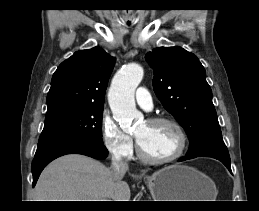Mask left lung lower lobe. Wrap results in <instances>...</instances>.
Masks as SVG:
<instances>
[{"label": "left lung lower lobe", "mask_w": 259, "mask_h": 211, "mask_svg": "<svg viewBox=\"0 0 259 211\" xmlns=\"http://www.w3.org/2000/svg\"><path fill=\"white\" fill-rule=\"evenodd\" d=\"M196 157L215 158V159L221 161L227 167V169L231 172V167H230L231 162H230L229 153H222V152H217V151H202V152L195 153L193 155H186L185 157L181 158L180 161L193 159Z\"/></svg>", "instance_id": "obj_1"}]
</instances>
